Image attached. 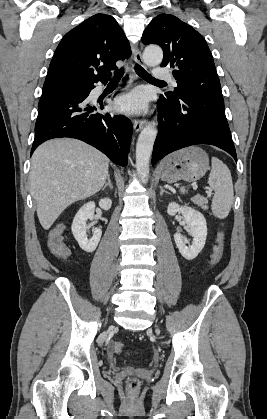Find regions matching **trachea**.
<instances>
[{"mask_svg":"<svg viewBox=\"0 0 267 419\" xmlns=\"http://www.w3.org/2000/svg\"><path fill=\"white\" fill-rule=\"evenodd\" d=\"M134 69H135V71H136V73L142 78V79H145V80H149V81H154V82H161V83H165L164 81H160V80H157V79H155V78H153L143 67H141L139 64H136L135 65V67H134ZM123 74H124V70L123 69H119V70H116L115 72H114V77H113V81H119L120 79H121V77L123 76Z\"/></svg>","mask_w":267,"mask_h":419,"instance_id":"1","label":"trachea"}]
</instances>
